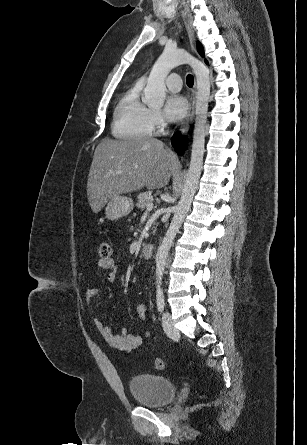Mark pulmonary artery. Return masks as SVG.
<instances>
[{
    "mask_svg": "<svg viewBox=\"0 0 307 445\" xmlns=\"http://www.w3.org/2000/svg\"><path fill=\"white\" fill-rule=\"evenodd\" d=\"M182 79V73L178 70H174L170 73L167 78V86L172 91H179L181 89L182 83L178 82ZM175 81V82H174Z\"/></svg>",
    "mask_w": 307,
    "mask_h": 445,
    "instance_id": "pulmonary-artery-1",
    "label": "pulmonary artery"
}]
</instances>
